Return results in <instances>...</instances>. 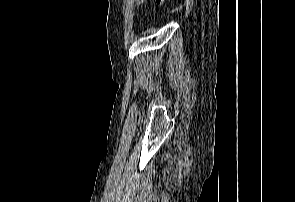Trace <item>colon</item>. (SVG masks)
<instances>
[{"instance_id":"5ec220e1","label":"colon","mask_w":295,"mask_h":202,"mask_svg":"<svg viewBox=\"0 0 295 202\" xmlns=\"http://www.w3.org/2000/svg\"><path fill=\"white\" fill-rule=\"evenodd\" d=\"M165 2L166 0H155L156 5L159 7H161Z\"/></svg>"}]
</instances>
